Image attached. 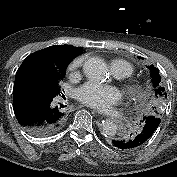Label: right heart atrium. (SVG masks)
Listing matches in <instances>:
<instances>
[{
    "label": "right heart atrium",
    "instance_id": "right-heart-atrium-1",
    "mask_svg": "<svg viewBox=\"0 0 177 177\" xmlns=\"http://www.w3.org/2000/svg\"><path fill=\"white\" fill-rule=\"evenodd\" d=\"M83 62L84 59L82 57L74 59L68 67L69 71L75 73L82 66Z\"/></svg>",
    "mask_w": 177,
    "mask_h": 177
}]
</instances>
